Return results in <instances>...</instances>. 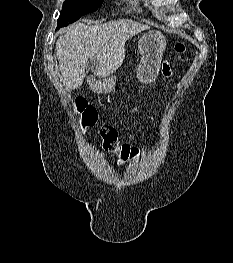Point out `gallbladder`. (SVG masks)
I'll return each instance as SVG.
<instances>
[{
	"label": "gallbladder",
	"mask_w": 233,
	"mask_h": 263,
	"mask_svg": "<svg viewBox=\"0 0 233 263\" xmlns=\"http://www.w3.org/2000/svg\"><path fill=\"white\" fill-rule=\"evenodd\" d=\"M87 69H88V71H93V67H92V62L91 61L88 62Z\"/></svg>",
	"instance_id": "bac80fb5"
}]
</instances>
